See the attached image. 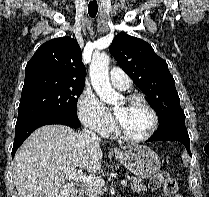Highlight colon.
Listing matches in <instances>:
<instances>
[{
    "mask_svg": "<svg viewBox=\"0 0 209 197\" xmlns=\"http://www.w3.org/2000/svg\"><path fill=\"white\" fill-rule=\"evenodd\" d=\"M153 190L161 189L168 197H184L178 190L177 181L165 172L157 173L150 181Z\"/></svg>",
    "mask_w": 209,
    "mask_h": 197,
    "instance_id": "obj_1",
    "label": "colon"
}]
</instances>
